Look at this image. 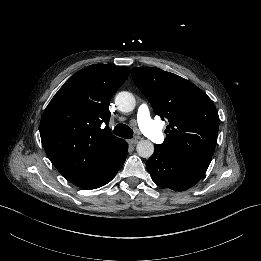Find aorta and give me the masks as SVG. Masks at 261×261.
<instances>
[{"mask_svg": "<svg viewBox=\"0 0 261 261\" xmlns=\"http://www.w3.org/2000/svg\"><path fill=\"white\" fill-rule=\"evenodd\" d=\"M115 104L123 112H129L135 107V98L128 91H121L115 96ZM137 153L142 158H150L154 153V146L150 141L144 140L138 143Z\"/></svg>", "mask_w": 261, "mask_h": 261, "instance_id": "762f6f07", "label": "aorta"}]
</instances>
